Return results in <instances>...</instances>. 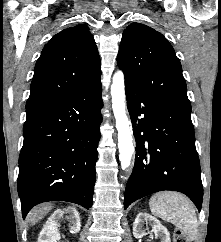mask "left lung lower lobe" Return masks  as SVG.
Instances as JSON below:
<instances>
[{
  "label": "left lung lower lobe",
  "mask_w": 221,
  "mask_h": 242,
  "mask_svg": "<svg viewBox=\"0 0 221 242\" xmlns=\"http://www.w3.org/2000/svg\"><path fill=\"white\" fill-rule=\"evenodd\" d=\"M125 91L137 145L125 209L144 196L172 190L186 194L200 211L203 187L191 111L155 99L126 77Z\"/></svg>",
  "instance_id": "obj_1"
}]
</instances>
